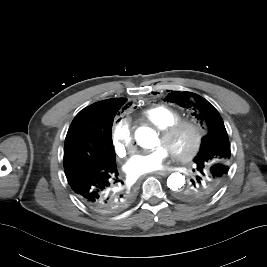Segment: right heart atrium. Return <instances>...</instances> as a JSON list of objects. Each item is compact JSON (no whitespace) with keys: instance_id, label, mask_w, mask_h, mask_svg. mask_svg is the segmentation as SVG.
<instances>
[{"instance_id":"1","label":"right heart atrium","mask_w":267,"mask_h":267,"mask_svg":"<svg viewBox=\"0 0 267 267\" xmlns=\"http://www.w3.org/2000/svg\"><path fill=\"white\" fill-rule=\"evenodd\" d=\"M133 142L132 129L126 119H118L113 127L112 143L115 153L123 157L131 149Z\"/></svg>"}]
</instances>
